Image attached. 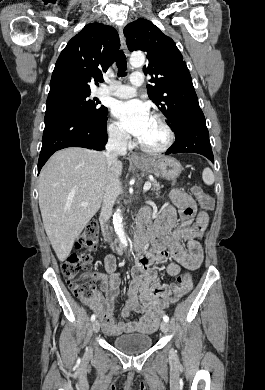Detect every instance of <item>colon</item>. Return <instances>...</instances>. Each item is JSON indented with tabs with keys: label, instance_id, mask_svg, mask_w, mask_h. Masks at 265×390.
<instances>
[{
	"label": "colon",
	"instance_id": "1",
	"mask_svg": "<svg viewBox=\"0 0 265 390\" xmlns=\"http://www.w3.org/2000/svg\"><path fill=\"white\" fill-rule=\"evenodd\" d=\"M192 193L196 197L201 209L204 211L213 209V198L205 193L200 186L194 185ZM98 233V224L96 222L88 223L75 244L78 251L72 252L62 263V273L67 280L70 290L75 296L83 300H91L98 295L95 285L97 276L92 271V258L88 253V250L96 247ZM182 284L183 278H179L177 283L172 284L169 292L165 295L167 301L171 302L179 298Z\"/></svg>",
	"mask_w": 265,
	"mask_h": 390
}]
</instances>
